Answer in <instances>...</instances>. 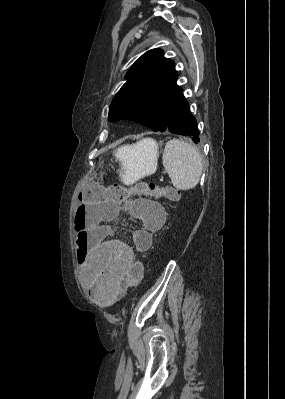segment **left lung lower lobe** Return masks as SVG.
Segmentation results:
<instances>
[{
  "label": "left lung lower lobe",
  "mask_w": 285,
  "mask_h": 399,
  "mask_svg": "<svg viewBox=\"0 0 285 399\" xmlns=\"http://www.w3.org/2000/svg\"><path fill=\"white\" fill-rule=\"evenodd\" d=\"M165 131L190 137L195 143L200 141L195 117L191 114L184 95L172 112Z\"/></svg>",
  "instance_id": "0a47b994"
}]
</instances>
